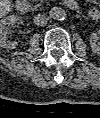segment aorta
<instances>
[{
	"mask_svg": "<svg viewBox=\"0 0 100 118\" xmlns=\"http://www.w3.org/2000/svg\"><path fill=\"white\" fill-rule=\"evenodd\" d=\"M49 15L51 18H53L54 20H64L67 16V13L64 9H62L61 7H53L50 11H49Z\"/></svg>",
	"mask_w": 100,
	"mask_h": 118,
	"instance_id": "1",
	"label": "aorta"
}]
</instances>
